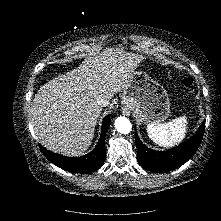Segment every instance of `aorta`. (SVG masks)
<instances>
[{
	"label": "aorta",
	"mask_w": 221,
	"mask_h": 221,
	"mask_svg": "<svg viewBox=\"0 0 221 221\" xmlns=\"http://www.w3.org/2000/svg\"><path fill=\"white\" fill-rule=\"evenodd\" d=\"M115 128L122 134H128L132 129V124L126 117H118L115 119Z\"/></svg>",
	"instance_id": "obj_1"
}]
</instances>
